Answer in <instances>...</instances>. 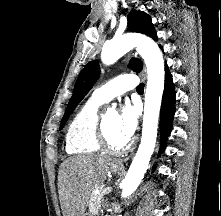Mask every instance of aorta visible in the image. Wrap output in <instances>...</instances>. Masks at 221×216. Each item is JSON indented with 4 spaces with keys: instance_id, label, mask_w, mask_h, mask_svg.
Masks as SVG:
<instances>
[{
    "instance_id": "762f6f07",
    "label": "aorta",
    "mask_w": 221,
    "mask_h": 216,
    "mask_svg": "<svg viewBox=\"0 0 221 216\" xmlns=\"http://www.w3.org/2000/svg\"><path fill=\"white\" fill-rule=\"evenodd\" d=\"M134 47L144 59L147 67V88L141 143L122 184L121 196L123 198L129 197L138 188L148 168L156 143L164 91L163 56L158 45L149 37L140 34L116 36L104 44L101 60L106 65L113 64Z\"/></svg>"
}]
</instances>
